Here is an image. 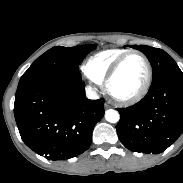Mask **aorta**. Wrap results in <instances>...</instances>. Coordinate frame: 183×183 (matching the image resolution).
I'll return each instance as SVG.
<instances>
[{"label":"aorta","instance_id":"1","mask_svg":"<svg viewBox=\"0 0 183 183\" xmlns=\"http://www.w3.org/2000/svg\"><path fill=\"white\" fill-rule=\"evenodd\" d=\"M105 119L110 123H117L120 120L118 111L109 109L105 112Z\"/></svg>","mask_w":183,"mask_h":183}]
</instances>
